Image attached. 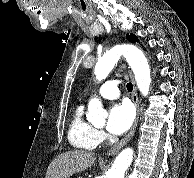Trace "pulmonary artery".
I'll return each mask as SVG.
<instances>
[{
	"mask_svg": "<svg viewBox=\"0 0 194 178\" xmlns=\"http://www.w3.org/2000/svg\"><path fill=\"white\" fill-rule=\"evenodd\" d=\"M120 80H108L98 90V94L105 99H116L120 96L118 85Z\"/></svg>",
	"mask_w": 194,
	"mask_h": 178,
	"instance_id": "e3ab8cb5",
	"label": "pulmonary artery"
}]
</instances>
